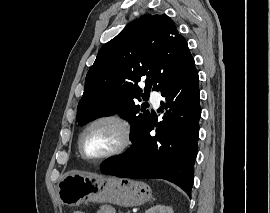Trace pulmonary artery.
Listing matches in <instances>:
<instances>
[{"instance_id":"obj_1","label":"pulmonary artery","mask_w":270,"mask_h":213,"mask_svg":"<svg viewBox=\"0 0 270 213\" xmlns=\"http://www.w3.org/2000/svg\"><path fill=\"white\" fill-rule=\"evenodd\" d=\"M151 102L155 107L159 106L161 95L158 92H152L150 95Z\"/></svg>"}]
</instances>
